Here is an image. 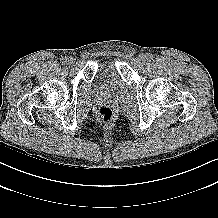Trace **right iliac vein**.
<instances>
[{
  "label": "right iliac vein",
  "instance_id": "obj_1",
  "mask_svg": "<svg viewBox=\"0 0 218 218\" xmlns=\"http://www.w3.org/2000/svg\"><path fill=\"white\" fill-rule=\"evenodd\" d=\"M66 63L69 64V65L73 64L74 63V58H72V57L67 58Z\"/></svg>",
  "mask_w": 218,
  "mask_h": 218
}]
</instances>
